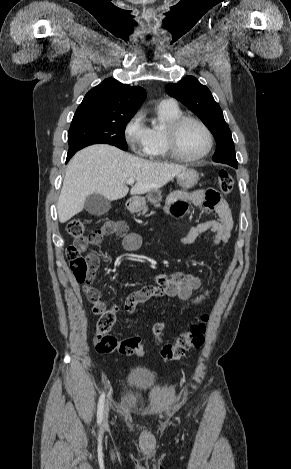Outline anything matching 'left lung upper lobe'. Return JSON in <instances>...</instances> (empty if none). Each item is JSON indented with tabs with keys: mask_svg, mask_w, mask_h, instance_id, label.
I'll list each match as a JSON object with an SVG mask.
<instances>
[{
	"mask_svg": "<svg viewBox=\"0 0 291 469\" xmlns=\"http://www.w3.org/2000/svg\"><path fill=\"white\" fill-rule=\"evenodd\" d=\"M165 90L168 95L176 98L197 114L214 135L217 148L213 160L237 167L238 163L230 129L224 120L219 104L215 102L210 90L193 76H187L177 84H168Z\"/></svg>",
	"mask_w": 291,
	"mask_h": 469,
	"instance_id": "obj_1",
	"label": "left lung upper lobe"
}]
</instances>
